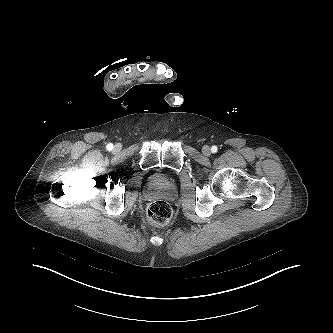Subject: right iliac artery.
<instances>
[{
  "instance_id": "1",
  "label": "right iliac artery",
  "mask_w": 333,
  "mask_h": 333,
  "mask_svg": "<svg viewBox=\"0 0 333 333\" xmlns=\"http://www.w3.org/2000/svg\"><path fill=\"white\" fill-rule=\"evenodd\" d=\"M107 149H108V150H112V149H113V144L109 143V144L107 145Z\"/></svg>"
}]
</instances>
